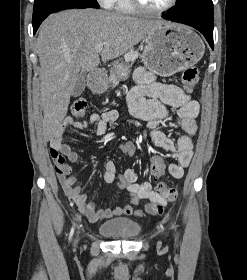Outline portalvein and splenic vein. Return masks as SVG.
<instances>
[{"label": "portal vein and splenic vein", "mask_w": 247, "mask_h": 280, "mask_svg": "<svg viewBox=\"0 0 247 280\" xmlns=\"http://www.w3.org/2000/svg\"><path fill=\"white\" fill-rule=\"evenodd\" d=\"M102 49H103V44H99V45H97V46L95 47V51H96L97 53H100V52L102 51Z\"/></svg>", "instance_id": "1"}]
</instances>
